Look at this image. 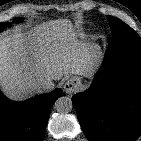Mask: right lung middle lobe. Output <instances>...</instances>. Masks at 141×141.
<instances>
[{
    "mask_svg": "<svg viewBox=\"0 0 141 141\" xmlns=\"http://www.w3.org/2000/svg\"><path fill=\"white\" fill-rule=\"evenodd\" d=\"M20 21H21V18H15V19H14V22H16V23H18V22H20ZM7 25H9V22H7V23H0V32H1L2 30H4Z\"/></svg>",
    "mask_w": 141,
    "mask_h": 141,
    "instance_id": "right-lung-middle-lobe-1",
    "label": "right lung middle lobe"
}]
</instances>
